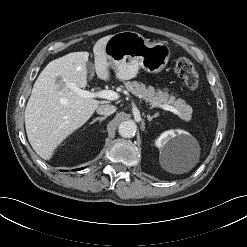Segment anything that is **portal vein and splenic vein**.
Masks as SVG:
<instances>
[{
  "label": "portal vein and splenic vein",
  "instance_id": "portal-vein-and-splenic-vein-1",
  "mask_svg": "<svg viewBox=\"0 0 247 247\" xmlns=\"http://www.w3.org/2000/svg\"><path fill=\"white\" fill-rule=\"evenodd\" d=\"M69 88H71L74 92H76L80 97L83 98H104L108 100H117L119 98V94L112 90H100L97 92H90L87 90H82L74 84H70ZM158 106L166 111H171L174 114L179 115V111L173 106H170L168 104H160Z\"/></svg>",
  "mask_w": 247,
  "mask_h": 247
}]
</instances>
